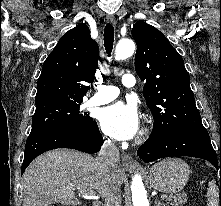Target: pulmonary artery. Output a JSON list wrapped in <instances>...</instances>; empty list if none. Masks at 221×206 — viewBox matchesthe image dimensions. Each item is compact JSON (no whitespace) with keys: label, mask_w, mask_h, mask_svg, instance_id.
Listing matches in <instances>:
<instances>
[{"label":"pulmonary artery","mask_w":221,"mask_h":206,"mask_svg":"<svg viewBox=\"0 0 221 206\" xmlns=\"http://www.w3.org/2000/svg\"><path fill=\"white\" fill-rule=\"evenodd\" d=\"M125 87H134L136 79L132 74H124L121 79ZM98 92L91 98V105H102L111 102L119 95V89L111 85H98Z\"/></svg>","instance_id":"e3ab8cb5"}]
</instances>
